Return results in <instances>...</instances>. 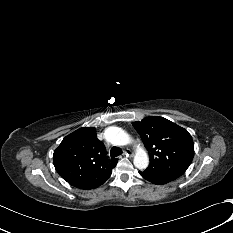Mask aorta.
Returning a JSON list of instances; mask_svg holds the SVG:
<instances>
[{
  "label": "aorta",
  "mask_w": 233,
  "mask_h": 233,
  "mask_svg": "<svg viewBox=\"0 0 233 233\" xmlns=\"http://www.w3.org/2000/svg\"><path fill=\"white\" fill-rule=\"evenodd\" d=\"M104 136L113 145L123 146L131 142L129 135L119 127H109L105 130ZM134 166L140 170L146 169L149 165V157L145 149L138 145L136 148Z\"/></svg>",
  "instance_id": "aorta-1"
}]
</instances>
